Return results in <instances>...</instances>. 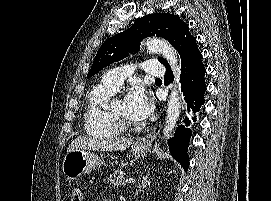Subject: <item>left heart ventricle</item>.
I'll use <instances>...</instances> for the list:
<instances>
[{"label":"left heart ventricle","instance_id":"b2bd125f","mask_svg":"<svg viewBox=\"0 0 271 201\" xmlns=\"http://www.w3.org/2000/svg\"><path fill=\"white\" fill-rule=\"evenodd\" d=\"M113 109L116 113H118L123 118H125L131 122H137V120L132 118L131 115L129 114L127 107H126V104H125V100H123V99L116 100L113 103Z\"/></svg>","mask_w":271,"mask_h":201}]
</instances>
